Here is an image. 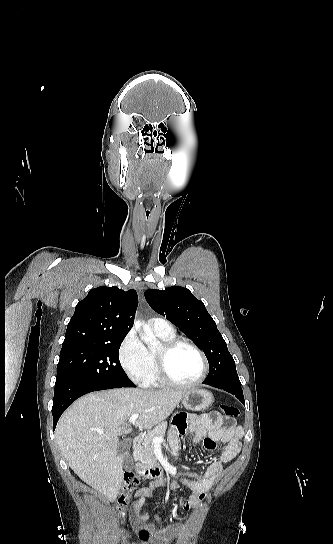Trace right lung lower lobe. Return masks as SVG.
Masks as SVG:
<instances>
[{
    "label": "right lung lower lobe",
    "instance_id": "98d812e1",
    "mask_svg": "<svg viewBox=\"0 0 333 544\" xmlns=\"http://www.w3.org/2000/svg\"><path fill=\"white\" fill-rule=\"evenodd\" d=\"M121 387H135V385L122 386L107 383H88L74 378H56L52 407L53 430L61 414L77 398L89 392Z\"/></svg>",
    "mask_w": 333,
    "mask_h": 544
}]
</instances>
